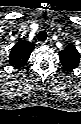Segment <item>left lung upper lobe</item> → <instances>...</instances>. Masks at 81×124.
<instances>
[{"label": "left lung upper lobe", "instance_id": "1", "mask_svg": "<svg viewBox=\"0 0 81 124\" xmlns=\"http://www.w3.org/2000/svg\"><path fill=\"white\" fill-rule=\"evenodd\" d=\"M59 58L63 68L68 71H73L81 62V55L73 43H69L65 49L60 52Z\"/></svg>", "mask_w": 81, "mask_h": 124}]
</instances>
